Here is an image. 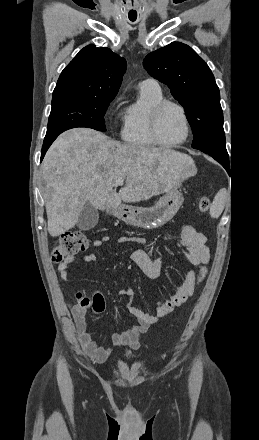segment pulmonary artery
<instances>
[{"instance_id": "e3ab8cb5", "label": "pulmonary artery", "mask_w": 259, "mask_h": 440, "mask_svg": "<svg viewBox=\"0 0 259 440\" xmlns=\"http://www.w3.org/2000/svg\"><path fill=\"white\" fill-rule=\"evenodd\" d=\"M140 91H146L151 93H161L159 83L154 79H145L139 83Z\"/></svg>"}]
</instances>
